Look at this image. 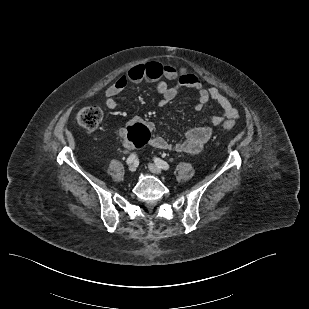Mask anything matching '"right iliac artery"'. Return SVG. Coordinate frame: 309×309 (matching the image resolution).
Returning <instances> with one entry per match:
<instances>
[{"label":"right iliac artery","mask_w":309,"mask_h":309,"mask_svg":"<svg viewBox=\"0 0 309 309\" xmlns=\"http://www.w3.org/2000/svg\"><path fill=\"white\" fill-rule=\"evenodd\" d=\"M136 157V154H131L126 160L127 165H130L136 159Z\"/></svg>","instance_id":"1"}]
</instances>
